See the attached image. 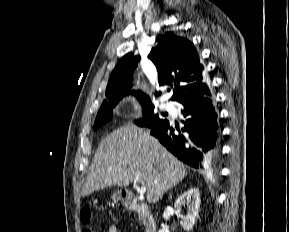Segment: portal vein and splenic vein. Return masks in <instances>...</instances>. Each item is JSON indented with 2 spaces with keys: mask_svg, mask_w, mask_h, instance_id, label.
<instances>
[{
  "mask_svg": "<svg viewBox=\"0 0 289 232\" xmlns=\"http://www.w3.org/2000/svg\"><path fill=\"white\" fill-rule=\"evenodd\" d=\"M134 189H136V191L140 194V195H144L146 192V187H139L136 183L133 184Z\"/></svg>",
  "mask_w": 289,
  "mask_h": 232,
  "instance_id": "portal-vein-and-splenic-vein-1",
  "label": "portal vein and splenic vein"
}]
</instances>
